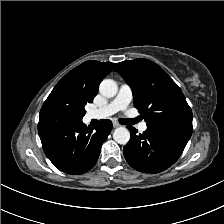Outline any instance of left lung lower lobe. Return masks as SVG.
I'll list each match as a JSON object with an SVG mask.
<instances>
[{
  "instance_id": "1",
  "label": "left lung lower lobe",
  "mask_w": 224,
  "mask_h": 224,
  "mask_svg": "<svg viewBox=\"0 0 224 224\" xmlns=\"http://www.w3.org/2000/svg\"><path fill=\"white\" fill-rule=\"evenodd\" d=\"M123 153L128 164L146 173H158L169 168L182 154L192 129L158 125L147 126L143 134H137L134 127Z\"/></svg>"
}]
</instances>
